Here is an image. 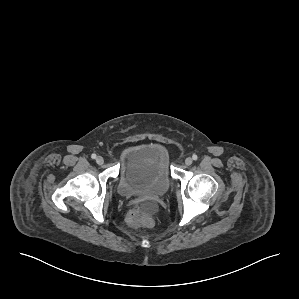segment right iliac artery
Wrapping results in <instances>:
<instances>
[{
    "label": "right iliac artery",
    "mask_w": 299,
    "mask_h": 299,
    "mask_svg": "<svg viewBox=\"0 0 299 299\" xmlns=\"http://www.w3.org/2000/svg\"><path fill=\"white\" fill-rule=\"evenodd\" d=\"M96 157H97L96 154H92V155H91V158H92V159H96Z\"/></svg>",
    "instance_id": "82829eb1"
}]
</instances>
